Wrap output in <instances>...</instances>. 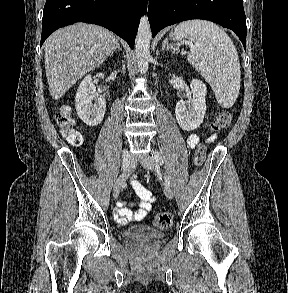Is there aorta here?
I'll return each instance as SVG.
<instances>
[{"mask_svg": "<svg viewBox=\"0 0 288 293\" xmlns=\"http://www.w3.org/2000/svg\"><path fill=\"white\" fill-rule=\"evenodd\" d=\"M152 39L150 24L148 21V17L143 15L139 28L138 33L135 41V52H136V59L137 65L141 73L146 74L148 71V63L150 60V42Z\"/></svg>", "mask_w": 288, "mask_h": 293, "instance_id": "762f6f07", "label": "aorta"}]
</instances>
